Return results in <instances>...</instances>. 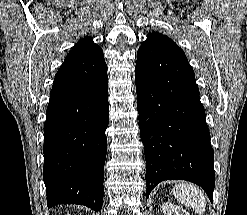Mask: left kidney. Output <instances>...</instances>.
<instances>
[{
	"label": "left kidney",
	"mask_w": 247,
	"mask_h": 215,
	"mask_svg": "<svg viewBox=\"0 0 247 215\" xmlns=\"http://www.w3.org/2000/svg\"><path fill=\"white\" fill-rule=\"evenodd\" d=\"M164 215H190L185 209L180 206L165 202L162 205Z\"/></svg>",
	"instance_id": "5707ae66"
}]
</instances>
